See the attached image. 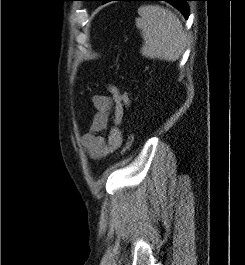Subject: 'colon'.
Instances as JSON below:
<instances>
[{"instance_id":"colon-1","label":"colon","mask_w":245,"mask_h":265,"mask_svg":"<svg viewBox=\"0 0 245 265\" xmlns=\"http://www.w3.org/2000/svg\"><path fill=\"white\" fill-rule=\"evenodd\" d=\"M122 101L125 106L130 105L131 103V96L128 92H122ZM134 138L131 134H128L122 149V152H126L130 150L133 145Z\"/></svg>"}]
</instances>
